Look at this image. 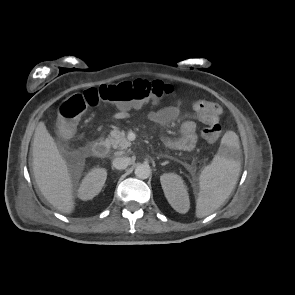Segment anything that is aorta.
Here are the masks:
<instances>
[{"label": "aorta", "mask_w": 295, "mask_h": 295, "mask_svg": "<svg viewBox=\"0 0 295 295\" xmlns=\"http://www.w3.org/2000/svg\"><path fill=\"white\" fill-rule=\"evenodd\" d=\"M151 174V168L147 164H139L135 168V175L139 179H147Z\"/></svg>", "instance_id": "obj_1"}]
</instances>
